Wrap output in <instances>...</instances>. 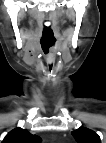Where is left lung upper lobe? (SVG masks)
I'll use <instances>...</instances> for the list:
<instances>
[{
    "instance_id": "obj_1",
    "label": "left lung upper lobe",
    "mask_w": 106,
    "mask_h": 143,
    "mask_svg": "<svg viewBox=\"0 0 106 143\" xmlns=\"http://www.w3.org/2000/svg\"><path fill=\"white\" fill-rule=\"evenodd\" d=\"M78 143H101L100 137L92 130L79 128L72 132Z\"/></svg>"
}]
</instances>
